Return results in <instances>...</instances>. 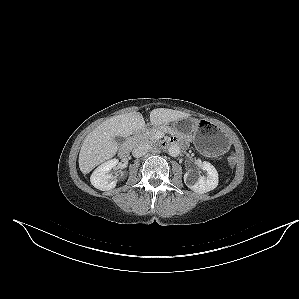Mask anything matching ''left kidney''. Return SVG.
<instances>
[{
    "label": "left kidney",
    "mask_w": 299,
    "mask_h": 299,
    "mask_svg": "<svg viewBox=\"0 0 299 299\" xmlns=\"http://www.w3.org/2000/svg\"><path fill=\"white\" fill-rule=\"evenodd\" d=\"M203 170L207 171V176L196 177L193 172H186L184 175L185 184L194 192L203 194L215 189L218 186V172L215 167L204 161L200 164Z\"/></svg>",
    "instance_id": "5707ae66"
}]
</instances>
